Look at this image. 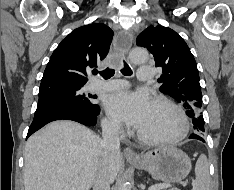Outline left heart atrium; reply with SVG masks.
<instances>
[{"mask_svg": "<svg viewBox=\"0 0 234 190\" xmlns=\"http://www.w3.org/2000/svg\"><path fill=\"white\" fill-rule=\"evenodd\" d=\"M152 101L144 91H121L107 96L105 108L115 120L140 128L146 120Z\"/></svg>", "mask_w": 234, "mask_h": 190, "instance_id": "left-heart-atrium-1", "label": "left heart atrium"}]
</instances>
